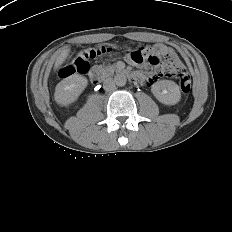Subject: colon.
<instances>
[{
	"label": "colon",
	"mask_w": 232,
	"mask_h": 232,
	"mask_svg": "<svg viewBox=\"0 0 232 232\" xmlns=\"http://www.w3.org/2000/svg\"><path fill=\"white\" fill-rule=\"evenodd\" d=\"M112 49L107 47L87 48L80 50L72 62L66 64L59 71V77L66 78L76 73L85 74L90 66L92 60L97 57L111 53ZM135 63H142L148 60L153 65H162L164 70L163 76H171L176 74L183 94H189L191 90L190 75L182 68H178L173 57L167 55L161 45L152 48L138 49L128 55Z\"/></svg>",
	"instance_id": "1"
}]
</instances>
